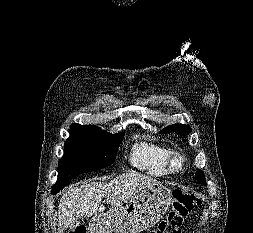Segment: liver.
<instances>
[{"label":"liver","instance_id":"obj_1","mask_svg":"<svg viewBox=\"0 0 253 233\" xmlns=\"http://www.w3.org/2000/svg\"><path fill=\"white\" fill-rule=\"evenodd\" d=\"M160 184L159 181L137 172L122 174L113 180L101 183L85 181L70 188L58 205V233H64L72 223L83 217H90L105 210L101 200L106 198L109 205H118L139 190Z\"/></svg>","mask_w":253,"mask_h":233}]
</instances>
